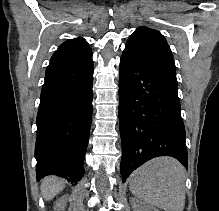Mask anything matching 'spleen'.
Segmentation results:
<instances>
[{
  "instance_id": "obj_1",
  "label": "spleen",
  "mask_w": 219,
  "mask_h": 211,
  "mask_svg": "<svg viewBox=\"0 0 219 211\" xmlns=\"http://www.w3.org/2000/svg\"><path fill=\"white\" fill-rule=\"evenodd\" d=\"M186 169L175 157H154L130 175L133 195L165 211H183Z\"/></svg>"
}]
</instances>
